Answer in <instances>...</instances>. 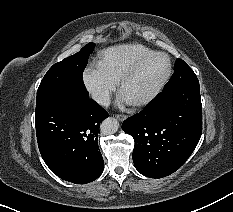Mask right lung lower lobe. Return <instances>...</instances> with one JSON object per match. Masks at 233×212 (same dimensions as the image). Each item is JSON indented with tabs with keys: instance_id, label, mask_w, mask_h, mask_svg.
Wrapping results in <instances>:
<instances>
[{
	"instance_id": "obj_1",
	"label": "right lung lower lobe",
	"mask_w": 233,
	"mask_h": 212,
	"mask_svg": "<svg viewBox=\"0 0 233 212\" xmlns=\"http://www.w3.org/2000/svg\"><path fill=\"white\" fill-rule=\"evenodd\" d=\"M108 117L87 90L71 88L35 114L41 156L61 179L85 184L103 172L98 147L100 123Z\"/></svg>"
}]
</instances>
